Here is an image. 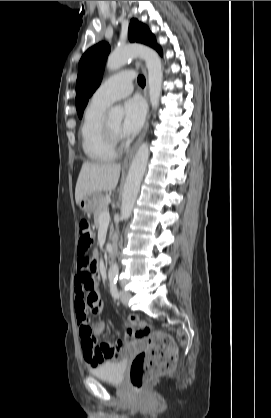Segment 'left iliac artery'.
<instances>
[{
    "label": "left iliac artery",
    "mask_w": 271,
    "mask_h": 418,
    "mask_svg": "<svg viewBox=\"0 0 271 418\" xmlns=\"http://www.w3.org/2000/svg\"><path fill=\"white\" fill-rule=\"evenodd\" d=\"M110 293L114 299L119 298V291L117 288V280H110Z\"/></svg>",
    "instance_id": "obj_1"
}]
</instances>
